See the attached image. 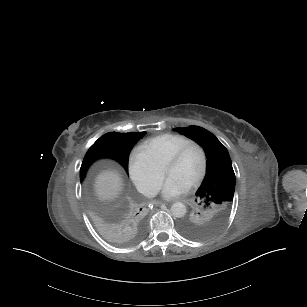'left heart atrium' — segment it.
I'll return each instance as SVG.
<instances>
[{"instance_id": "left-heart-atrium-1", "label": "left heart atrium", "mask_w": 307, "mask_h": 307, "mask_svg": "<svg viewBox=\"0 0 307 307\" xmlns=\"http://www.w3.org/2000/svg\"><path fill=\"white\" fill-rule=\"evenodd\" d=\"M189 190V184L175 175H167L164 179L156 182L152 188L154 194L167 199L177 198Z\"/></svg>"}]
</instances>
